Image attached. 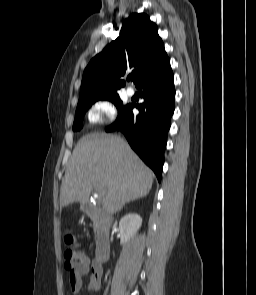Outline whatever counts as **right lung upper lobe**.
<instances>
[{
    "instance_id": "1",
    "label": "right lung upper lobe",
    "mask_w": 256,
    "mask_h": 295,
    "mask_svg": "<svg viewBox=\"0 0 256 295\" xmlns=\"http://www.w3.org/2000/svg\"><path fill=\"white\" fill-rule=\"evenodd\" d=\"M157 26L146 14H131L122 24L120 36L88 64L83 73L80 96L104 98L118 95L125 85L121 77L131 70L135 84L166 59Z\"/></svg>"
}]
</instances>
